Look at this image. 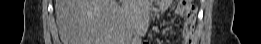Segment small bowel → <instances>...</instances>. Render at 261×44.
I'll return each instance as SVG.
<instances>
[{"instance_id":"1","label":"small bowel","mask_w":261,"mask_h":44,"mask_svg":"<svg viewBox=\"0 0 261 44\" xmlns=\"http://www.w3.org/2000/svg\"><path fill=\"white\" fill-rule=\"evenodd\" d=\"M155 6L160 11L167 10L171 5V0H158L154 2ZM150 2H140L137 5V9H144L147 14L150 13ZM176 13L181 15L183 21L182 43L191 44L194 40L195 27H196V11L191 6H185V8L177 7ZM147 44V42H145Z\"/></svg>"}]
</instances>
